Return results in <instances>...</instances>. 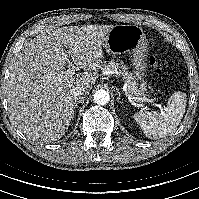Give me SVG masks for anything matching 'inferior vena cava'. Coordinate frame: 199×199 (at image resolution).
I'll return each mask as SVG.
<instances>
[{
	"label": "inferior vena cava",
	"instance_id": "inferior-vena-cava-1",
	"mask_svg": "<svg viewBox=\"0 0 199 199\" xmlns=\"http://www.w3.org/2000/svg\"><path fill=\"white\" fill-rule=\"evenodd\" d=\"M86 97V89L82 86H76L70 90L69 99L73 102H81Z\"/></svg>",
	"mask_w": 199,
	"mask_h": 199
}]
</instances>
